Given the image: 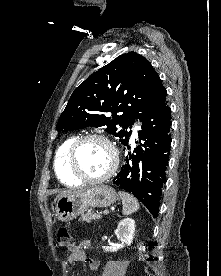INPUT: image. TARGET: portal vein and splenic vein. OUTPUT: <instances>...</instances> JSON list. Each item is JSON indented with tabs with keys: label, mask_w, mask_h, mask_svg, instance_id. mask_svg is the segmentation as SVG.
Returning a JSON list of instances; mask_svg holds the SVG:
<instances>
[{
	"label": "portal vein and splenic vein",
	"mask_w": 221,
	"mask_h": 276,
	"mask_svg": "<svg viewBox=\"0 0 221 276\" xmlns=\"http://www.w3.org/2000/svg\"><path fill=\"white\" fill-rule=\"evenodd\" d=\"M108 213H109L108 210L103 211V214H108Z\"/></svg>",
	"instance_id": "1"
}]
</instances>
